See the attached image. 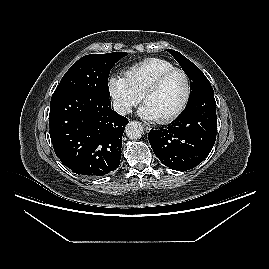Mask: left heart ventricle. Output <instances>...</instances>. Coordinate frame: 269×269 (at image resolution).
<instances>
[{"label": "left heart ventricle", "instance_id": "b2bd125f", "mask_svg": "<svg viewBox=\"0 0 269 269\" xmlns=\"http://www.w3.org/2000/svg\"><path fill=\"white\" fill-rule=\"evenodd\" d=\"M186 93V80L182 73L171 74L154 93L147 96L146 104L155 118L165 117L174 112L183 102Z\"/></svg>", "mask_w": 269, "mask_h": 269}]
</instances>
